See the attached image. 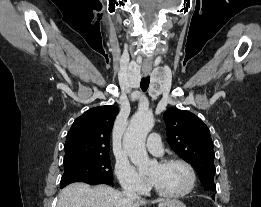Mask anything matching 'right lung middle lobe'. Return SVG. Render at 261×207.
<instances>
[{"label": "right lung middle lobe", "mask_w": 261, "mask_h": 207, "mask_svg": "<svg viewBox=\"0 0 261 207\" xmlns=\"http://www.w3.org/2000/svg\"><path fill=\"white\" fill-rule=\"evenodd\" d=\"M63 165L61 186L88 180H113L109 155L72 159L64 161Z\"/></svg>", "instance_id": "dd1d6c3e"}]
</instances>
